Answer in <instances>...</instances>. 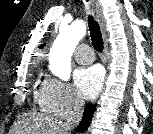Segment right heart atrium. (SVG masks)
Instances as JSON below:
<instances>
[{
  "instance_id": "obj_1",
  "label": "right heart atrium",
  "mask_w": 153,
  "mask_h": 134,
  "mask_svg": "<svg viewBox=\"0 0 153 134\" xmlns=\"http://www.w3.org/2000/svg\"><path fill=\"white\" fill-rule=\"evenodd\" d=\"M40 104L51 114L65 118L79 112L83 103L69 84L57 78L48 77L43 82Z\"/></svg>"
}]
</instances>
